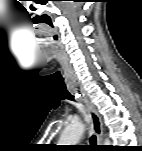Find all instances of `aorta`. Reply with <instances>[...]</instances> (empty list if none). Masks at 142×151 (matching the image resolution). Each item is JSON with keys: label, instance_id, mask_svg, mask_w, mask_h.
Masks as SVG:
<instances>
[{"label": "aorta", "instance_id": "obj_1", "mask_svg": "<svg viewBox=\"0 0 142 151\" xmlns=\"http://www.w3.org/2000/svg\"><path fill=\"white\" fill-rule=\"evenodd\" d=\"M85 132V125L81 122H75L68 125L59 139V145H76ZM110 141L105 140V145H109Z\"/></svg>", "mask_w": 142, "mask_h": 151}]
</instances>
